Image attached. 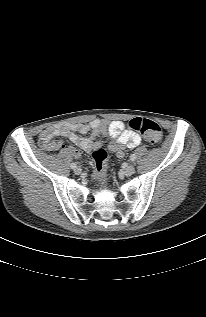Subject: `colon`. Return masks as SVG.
<instances>
[{
    "label": "colon",
    "mask_w": 206,
    "mask_h": 317,
    "mask_svg": "<svg viewBox=\"0 0 206 317\" xmlns=\"http://www.w3.org/2000/svg\"><path fill=\"white\" fill-rule=\"evenodd\" d=\"M129 126L134 131L141 133L152 144H157L162 139V130L159 124L153 120L136 117L130 121ZM93 160L94 176L97 180L101 181L105 177L108 154L104 149L98 148L93 152Z\"/></svg>",
    "instance_id": "obj_1"
}]
</instances>
